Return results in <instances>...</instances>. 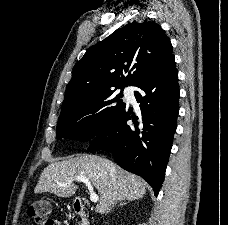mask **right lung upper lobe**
Returning a JSON list of instances; mask_svg holds the SVG:
<instances>
[{
	"mask_svg": "<svg viewBox=\"0 0 228 225\" xmlns=\"http://www.w3.org/2000/svg\"><path fill=\"white\" fill-rule=\"evenodd\" d=\"M172 55L170 39L159 24L128 22L90 47L75 64L62 106L113 88L136 86Z\"/></svg>",
	"mask_w": 228,
	"mask_h": 225,
	"instance_id": "1",
	"label": "right lung upper lobe"
}]
</instances>
